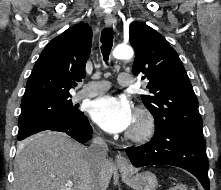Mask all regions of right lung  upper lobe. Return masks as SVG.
Here are the masks:
<instances>
[{"instance_id": "cb5924a9", "label": "right lung upper lobe", "mask_w": 221, "mask_h": 190, "mask_svg": "<svg viewBox=\"0 0 221 190\" xmlns=\"http://www.w3.org/2000/svg\"><path fill=\"white\" fill-rule=\"evenodd\" d=\"M91 42L92 30L85 23L52 39L33 67L21 106L71 97L69 90L86 75Z\"/></svg>"}]
</instances>
